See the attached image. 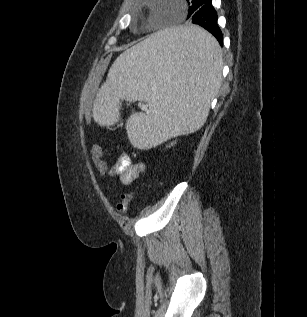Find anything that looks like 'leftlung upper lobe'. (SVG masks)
<instances>
[{
    "label": "left lung upper lobe",
    "mask_w": 307,
    "mask_h": 317,
    "mask_svg": "<svg viewBox=\"0 0 307 317\" xmlns=\"http://www.w3.org/2000/svg\"><path fill=\"white\" fill-rule=\"evenodd\" d=\"M188 4V18L193 14L196 9V4L199 0H186Z\"/></svg>",
    "instance_id": "obj_1"
}]
</instances>
